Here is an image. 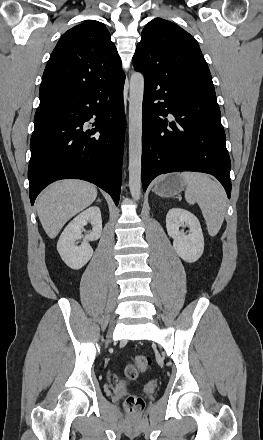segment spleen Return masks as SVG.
Segmentation results:
<instances>
[{
	"label": "spleen",
	"mask_w": 263,
	"mask_h": 440,
	"mask_svg": "<svg viewBox=\"0 0 263 440\" xmlns=\"http://www.w3.org/2000/svg\"><path fill=\"white\" fill-rule=\"evenodd\" d=\"M180 177L186 185V201L189 204L199 205L208 233L214 237L222 226L227 209V196L224 188L204 173L182 172Z\"/></svg>",
	"instance_id": "spleen-1"
}]
</instances>
